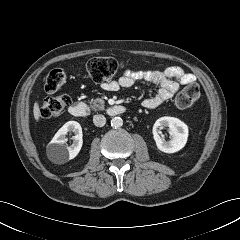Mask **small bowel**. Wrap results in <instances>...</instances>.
Returning <instances> with one entry per match:
<instances>
[{
	"mask_svg": "<svg viewBox=\"0 0 240 240\" xmlns=\"http://www.w3.org/2000/svg\"><path fill=\"white\" fill-rule=\"evenodd\" d=\"M139 81L158 86L157 93L142 102L144 108L154 109L170 100L180 86L195 83L196 77L179 66H171L164 70H127L118 80L104 83L102 89L113 92L120 88L132 87Z\"/></svg>",
	"mask_w": 240,
	"mask_h": 240,
	"instance_id": "small-bowel-1",
	"label": "small bowel"
}]
</instances>
